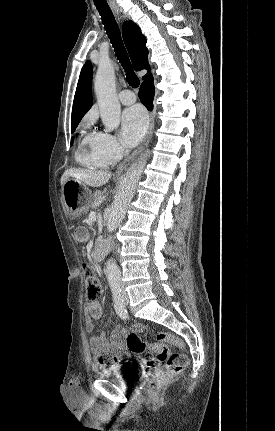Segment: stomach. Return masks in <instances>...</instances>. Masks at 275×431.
<instances>
[{
    "label": "stomach",
    "mask_w": 275,
    "mask_h": 431,
    "mask_svg": "<svg viewBox=\"0 0 275 431\" xmlns=\"http://www.w3.org/2000/svg\"><path fill=\"white\" fill-rule=\"evenodd\" d=\"M61 192L65 212L71 219H77L88 211L92 193L84 183L68 179Z\"/></svg>",
    "instance_id": "1"
}]
</instances>
